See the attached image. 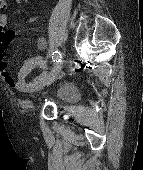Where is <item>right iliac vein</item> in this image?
<instances>
[{
  "mask_svg": "<svg viewBox=\"0 0 143 170\" xmlns=\"http://www.w3.org/2000/svg\"><path fill=\"white\" fill-rule=\"evenodd\" d=\"M62 65H63V61H60L54 66L53 70L47 75V78L45 80V85L47 86L51 85L60 77V71Z\"/></svg>",
  "mask_w": 143,
  "mask_h": 170,
  "instance_id": "1",
  "label": "right iliac vein"
}]
</instances>
